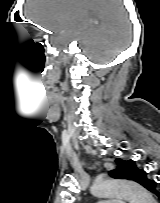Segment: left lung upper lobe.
<instances>
[{
  "label": "left lung upper lobe",
  "mask_w": 160,
  "mask_h": 203,
  "mask_svg": "<svg viewBox=\"0 0 160 203\" xmlns=\"http://www.w3.org/2000/svg\"><path fill=\"white\" fill-rule=\"evenodd\" d=\"M116 163L117 168L110 172L114 178L132 180L141 184L145 188L151 181L147 178V173L144 170L137 168L135 161L117 159Z\"/></svg>",
  "instance_id": "1"
}]
</instances>
